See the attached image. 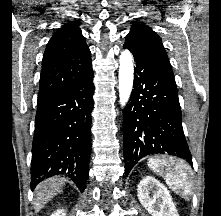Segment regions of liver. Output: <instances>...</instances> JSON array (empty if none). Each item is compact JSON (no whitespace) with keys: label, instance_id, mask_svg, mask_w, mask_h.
Here are the masks:
<instances>
[{"label":"liver","instance_id":"liver-1","mask_svg":"<svg viewBox=\"0 0 221 216\" xmlns=\"http://www.w3.org/2000/svg\"><path fill=\"white\" fill-rule=\"evenodd\" d=\"M64 177H52L39 183L35 188L34 209L40 211L43 207L55 197L65 185Z\"/></svg>","mask_w":221,"mask_h":216}]
</instances>
